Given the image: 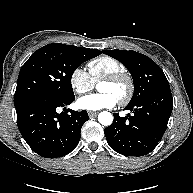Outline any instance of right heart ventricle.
I'll list each match as a JSON object with an SVG mask.
<instances>
[{
  "instance_id": "e07e8e85",
  "label": "right heart ventricle",
  "mask_w": 193,
  "mask_h": 193,
  "mask_svg": "<svg viewBox=\"0 0 193 193\" xmlns=\"http://www.w3.org/2000/svg\"><path fill=\"white\" fill-rule=\"evenodd\" d=\"M89 75L93 82L102 80L113 73L125 71V65L112 56H99L88 63Z\"/></svg>"
}]
</instances>
